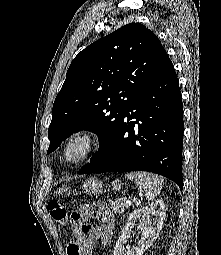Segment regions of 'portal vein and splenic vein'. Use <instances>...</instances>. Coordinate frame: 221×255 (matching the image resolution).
<instances>
[{"instance_id": "1", "label": "portal vein and splenic vein", "mask_w": 221, "mask_h": 255, "mask_svg": "<svg viewBox=\"0 0 221 255\" xmlns=\"http://www.w3.org/2000/svg\"><path fill=\"white\" fill-rule=\"evenodd\" d=\"M126 202L128 203V204H131L132 202L131 201H129V200H126Z\"/></svg>"}]
</instances>
